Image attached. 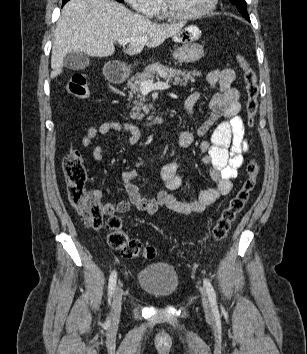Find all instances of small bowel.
I'll use <instances>...</instances> for the list:
<instances>
[{
	"mask_svg": "<svg viewBox=\"0 0 307 354\" xmlns=\"http://www.w3.org/2000/svg\"><path fill=\"white\" fill-rule=\"evenodd\" d=\"M235 79V71L230 68L215 69L207 75V82L212 87H216L218 91L209 101V112L199 123L197 136L202 137L211 131L210 139L201 141L199 150L203 163L209 169L214 186L201 191L194 200H187L176 195L174 192L184 187V181L177 173L176 158L161 170V178L167 190L160 191L156 199H145L136 184L138 172L134 169L128 170L122 174L128 200L117 204L105 203L108 213H125L133 205L148 214H154L160 206H166L174 212L189 215L204 212L220 197L230 193L232 179L237 177L238 170L244 164V154L248 150L244 123L239 115L240 91L233 86ZM200 98L199 92L188 97L185 109L190 116H193L194 107ZM112 131L124 133L129 143H137L141 139L139 129L132 123L105 121L99 125L90 126L82 137L81 144L84 147H90L98 136H106ZM176 140L179 147L186 148L195 143L196 136L184 131L176 134ZM92 154L96 161L102 160V146L96 145ZM90 194L98 201L103 198V192L100 189H92Z\"/></svg>",
	"mask_w": 307,
	"mask_h": 354,
	"instance_id": "c3829d8e",
	"label": "small bowel"
}]
</instances>
